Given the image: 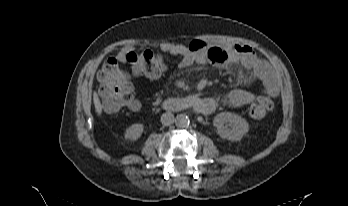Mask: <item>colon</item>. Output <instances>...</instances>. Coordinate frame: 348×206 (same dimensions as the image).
<instances>
[{"label":"colon","mask_w":348,"mask_h":206,"mask_svg":"<svg viewBox=\"0 0 348 206\" xmlns=\"http://www.w3.org/2000/svg\"><path fill=\"white\" fill-rule=\"evenodd\" d=\"M125 60L132 65L135 74L157 77L164 70L161 56L149 49L139 52L130 51L125 54ZM98 81L102 105L106 111L114 113L123 108L135 109L137 107L129 75L120 67L117 58L110 57L104 61L98 73ZM272 109L271 96L264 92L250 107L249 113L254 119H262Z\"/></svg>","instance_id":"colon-1"}]
</instances>
